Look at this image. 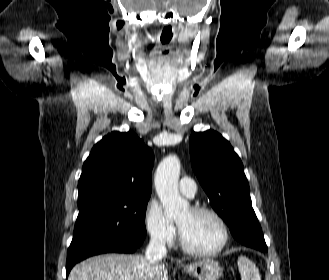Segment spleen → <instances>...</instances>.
I'll return each instance as SVG.
<instances>
[{
	"label": "spleen",
	"mask_w": 329,
	"mask_h": 280,
	"mask_svg": "<svg viewBox=\"0 0 329 280\" xmlns=\"http://www.w3.org/2000/svg\"><path fill=\"white\" fill-rule=\"evenodd\" d=\"M238 269L241 280H261L259 269L253 261L245 256H240L238 258Z\"/></svg>",
	"instance_id": "3e777b00"
}]
</instances>
